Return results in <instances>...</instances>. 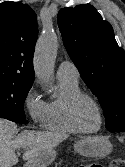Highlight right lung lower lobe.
Here are the masks:
<instances>
[{
  "mask_svg": "<svg viewBox=\"0 0 125 167\" xmlns=\"http://www.w3.org/2000/svg\"><path fill=\"white\" fill-rule=\"evenodd\" d=\"M0 118H5L16 123H28L26 117H18L2 110H0Z\"/></svg>",
  "mask_w": 125,
  "mask_h": 167,
  "instance_id": "right-lung-lower-lobe-1",
  "label": "right lung lower lobe"
}]
</instances>
